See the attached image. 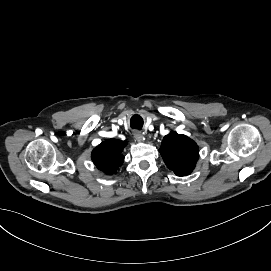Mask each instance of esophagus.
Returning a JSON list of instances; mask_svg holds the SVG:
<instances>
[{
  "mask_svg": "<svg viewBox=\"0 0 271 271\" xmlns=\"http://www.w3.org/2000/svg\"><path fill=\"white\" fill-rule=\"evenodd\" d=\"M133 135H134V138H135L137 141H139V142L143 141V135H142V133H141L140 131H135V132L133 133Z\"/></svg>",
  "mask_w": 271,
  "mask_h": 271,
  "instance_id": "esophagus-1",
  "label": "esophagus"
}]
</instances>
